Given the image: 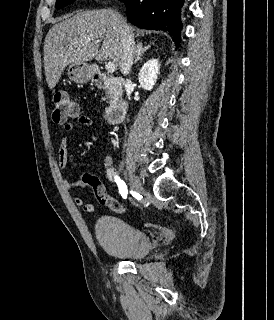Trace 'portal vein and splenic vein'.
<instances>
[{
  "mask_svg": "<svg viewBox=\"0 0 274 320\" xmlns=\"http://www.w3.org/2000/svg\"><path fill=\"white\" fill-rule=\"evenodd\" d=\"M105 68L107 72H115V70H117L116 64H114V62H107Z\"/></svg>",
  "mask_w": 274,
  "mask_h": 320,
  "instance_id": "portal-vein-and-splenic-vein-1",
  "label": "portal vein and splenic vein"
}]
</instances>
